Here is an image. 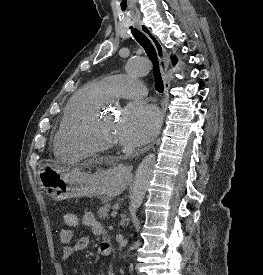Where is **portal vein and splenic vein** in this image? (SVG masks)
Segmentation results:
<instances>
[{
	"mask_svg": "<svg viewBox=\"0 0 263 275\" xmlns=\"http://www.w3.org/2000/svg\"><path fill=\"white\" fill-rule=\"evenodd\" d=\"M117 215V211L116 210H113L112 212H111V216L112 217H115Z\"/></svg>",
	"mask_w": 263,
	"mask_h": 275,
	"instance_id": "obj_1",
	"label": "portal vein and splenic vein"
}]
</instances>
